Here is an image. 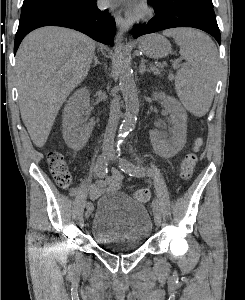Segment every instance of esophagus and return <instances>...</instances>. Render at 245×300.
Returning a JSON list of instances; mask_svg holds the SVG:
<instances>
[{"label":"esophagus","mask_w":245,"mask_h":300,"mask_svg":"<svg viewBox=\"0 0 245 300\" xmlns=\"http://www.w3.org/2000/svg\"><path fill=\"white\" fill-rule=\"evenodd\" d=\"M114 19H115V22H116V25L122 29L123 31H127L130 27V22H127L123 19V17L116 13L114 14Z\"/></svg>","instance_id":"obj_1"}]
</instances>
